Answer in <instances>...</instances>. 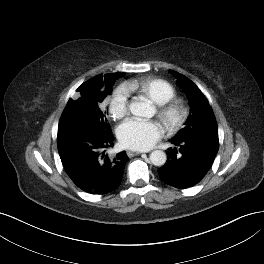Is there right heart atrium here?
<instances>
[{"mask_svg":"<svg viewBox=\"0 0 264 264\" xmlns=\"http://www.w3.org/2000/svg\"><path fill=\"white\" fill-rule=\"evenodd\" d=\"M109 113L113 119L124 118L129 112V91L125 86H120L106 101Z\"/></svg>","mask_w":264,"mask_h":264,"instance_id":"obj_1","label":"right heart atrium"}]
</instances>
